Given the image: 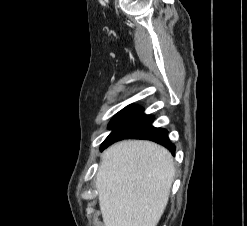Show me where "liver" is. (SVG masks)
<instances>
[{"instance_id": "6515ba94", "label": "liver", "mask_w": 247, "mask_h": 226, "mask_svg": "<svg viewBox=\"0 0 247 226\" xmlns=\"http://www.w3.org/2000/svg\"><path fill=\"white\" fill-rule=\"evenodd\" d=\"M95 187L104 226H156L174 181L173 157L150 141L118 142L101 156Z\"/></svg>"}]
</instances>
